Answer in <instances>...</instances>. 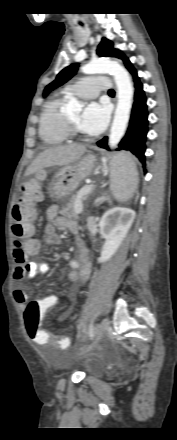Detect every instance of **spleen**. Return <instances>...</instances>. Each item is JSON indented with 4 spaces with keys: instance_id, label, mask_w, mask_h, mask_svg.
<instances>
[{
    "instance_id": "1",
    "label": "spleen",
    "mask_w": 177,
    "mask_h": 440,
    "mask_svg": "<svg viewBox=\"0 0 177 440\" xmlns=\"http://www.w3.org/2000/svg\"><path fill=\"white\" fill-rule=\"evenodd\" d=\"M123 165L117 168V172H111L113 182L111 190L119 201L130 199L138 184V173L131 156L121 154Z\"/></svg>"
}]
</instances>
